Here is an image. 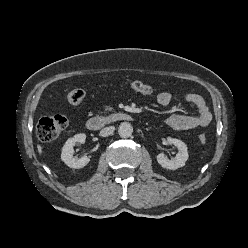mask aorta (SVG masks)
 Here are the masks:
<instances>
[{
	"label": "aorta",
	"mask_w": 248,
	"mask_h": 248,
	"mask_svg": "<svg viewBox=\"0 0 248 248\" xmlns=\"http://www.w3.org/2000/svg\"><path fill=\"white\" fill-rule=\"evenodd\" d=\"M133 127L129 122H122L118 127V134L122 138H128L132 135Z\"/></svg>",
	"instance_id": "1"
}]
</instances>
